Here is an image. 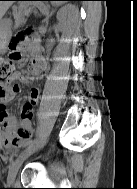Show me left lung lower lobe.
<instances>
[{"label": "left lung lower lobe", "instance_id": "0a47b994", "mask_svg": "<svg viewBox=\"0 0 137 189\" xmlns=\"http://www.w3.org/2000/svg\"><path fill=\"white\" fill-rule=\"evenodd\" d=\"M68 1H81V0H68Z\"/></svg>", "mask_w": 137, "mask_h": 189}]
</instances>
